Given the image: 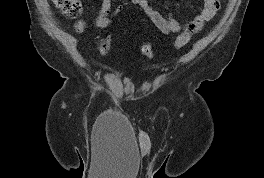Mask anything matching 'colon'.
I'll list each match as a JSON object with an SVG mask.
<instances>
[{"instance_id":"colon-1","label":"colon","mask_w":264,"mask_h":178,"mask_svg":"<svg viewBox=\"0 0 264 178\" xmlns=\"http://www.w3.org/2000/svg\"><path fill=\"white\" fill-rule=\"evenodd\" d=\"M53 5L69 18H77L82 14V4L80 0H51ZM191 34L184 31L175 41L177 48L184 47L190 40ZM99 51L102 55H107L111 49V40L109 36L103 37L98 41ZM141 52L148 58H153L155 51L153 46L146 42L141 46Z\"/></svg>"}]
</instances>
